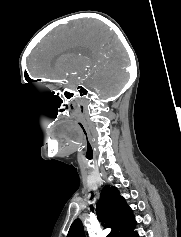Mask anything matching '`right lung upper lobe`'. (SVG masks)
I'll return each mask as SVG.
<instances>
[{
  "label": "right lung upper lobe",
  "instance_id": "cb5924a9",
  "mask_svg": "<svg viewBox=\"0 0 181 237\" xmlns=\"http://www.w3.org/2000/svg\"><path fill=\"white\" fill-rule=\"evenodd\" d=\"M98 219L111 232L107 237H133L136 221L132 209L125 199L120 196L117 188L106 185L97 203ZM67 237H84V228L80 219H76L68 232Z\"/></svg>",
  "mask_w": 181,
  "mask_h": 237
}]
</instances>
